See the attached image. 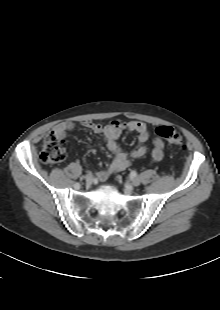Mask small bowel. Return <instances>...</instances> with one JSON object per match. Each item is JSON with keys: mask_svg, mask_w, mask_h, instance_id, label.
Instances as JSON below:
<instances>
[{"mask_svg": "<svg viewBox=\"0 0 220 310\" xmlns=\"http://www.w3.org/2000/svg\"><path fill=\"white\" fill-rule=\"evenodd\" d=\"M81 125L96 134L102 135L106 140L108 150L113 157L106 169L97 172L99 180H106L111 174L127 169L132 159L143 157L147 153L146 143L150 139V132L144 122L133 120L129 122L111 121L107 124L83 121ZM75 128V123L71 121L61 122L54 128L55 134L64 139L67 133ZM137 133V144L129 152L125 151L117 142L123 131ZM164 155V141L160 137L153 140L151 159L155 162L160 161Z\"/></svg>", "mask_w": 220, "mask_h": 310, "instance_id": "obj_1", "label": "small bowel"}]
</instances>
